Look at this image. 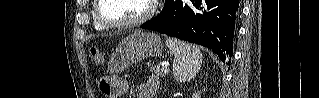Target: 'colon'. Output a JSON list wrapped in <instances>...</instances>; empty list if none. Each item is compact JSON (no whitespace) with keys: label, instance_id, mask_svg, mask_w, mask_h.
Wrapping results in <instances>:
<instances>
[{"label":"colon","instance_id":"obj_1","mask_svg":"<svg viewBox=\"0 0 319 98\" xmlns=\"http://www.w3.org/2000/svg\"><path fill=\"white\" fill-rule=\"evenodd\" d=\"M90 56L92 60H94L96 63H100L102 61V54L100 50L96 47H92L90 49Z\"/></svg>","mask_w":319,"mask_h":98}]
</instances>
